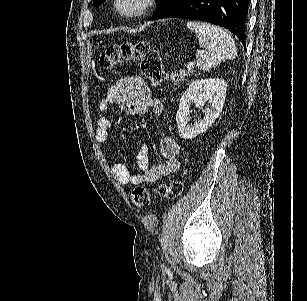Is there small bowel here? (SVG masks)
Wrapping results in <instances>:
<instances>
[{
	"label": "small bowel",
	"instance_id": "c3829d8e",
	"mask_svg": "<svg viewBox=\"0 0 307 301\" xmlns=\"http://www.w3.org/2000/svg\"><path fill=\"white\" fill-rule=\"evenodd\" d=\"M111 105H117L130 114L145 113L149 110H152L155 115L162 112L161 103L153 99L149 86L137 76L126 77L109 87L106 97L99 104V110L105 113ZM111 127L112 123L109 118L103 116L98 119L95 138L100 144H107ZM159 149L163 158L162 163L150 166L148 147L141 144L136 155V162L141 172L130 174L124 164L115 163L112 166L115 180L122 185H139L144 182H156L177 172L179 168L178 144L171 138H164L160 142Z\"/></svg>",
	"mask_w": 307,
	"mask_h": 301
}]
</instances>
